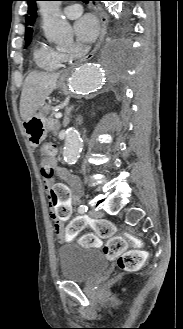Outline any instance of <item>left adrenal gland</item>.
<instances>
[{
  "instance_id": "1",
  "label": "left adrenal gland",
  "mask_w": 183,
  "mask_h": 329,
  "mask_svg": "<svg viewBox=\"0 0 183 329\" xmlns=\"http://www.w3.org/2000/svg\"><path fill=\"white\" fill-rule=\"evenodd\" d=\"M74 106L69 107L68 104L65 107V116H64V121H63V125L67 126V124L70 121V113L73 110Z\"/></svg>"
}]
</instances>
